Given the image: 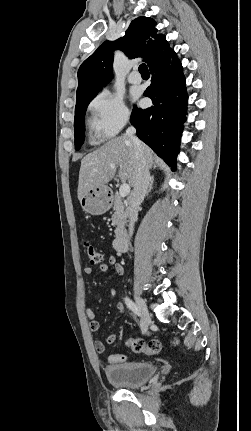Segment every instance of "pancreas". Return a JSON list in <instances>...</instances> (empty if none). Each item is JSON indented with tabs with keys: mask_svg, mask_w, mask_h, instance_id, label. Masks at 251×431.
I'll return each mask as SVG.
<instances>
[{
	"mask_svg": "<svg viewBox=\"0 0 251 431\" xmlns=\"http://www.w3.org/2000/svg\"><path fill=\"white\" fill-rule=\"evenodd\" d=\"M113 210L112 225L115 227V236L123 237L126 233L125 225L127 223L128 209L119 195L114 196Z\"/></svg>",
	"mask_w": 251,
	"mask_h": 431,
	"instance_id": "cf45deb5",
	"label": "pancreas"
}]
</instances>
